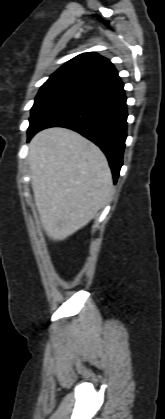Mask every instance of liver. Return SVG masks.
I'll return each instance as SVG.
<instances>
[{"mask_svg":"<svg viewBox=\"0 0 165 419\" xmlns=\"http://www.w3.org/2000/svg\"><path fill=\"white\" fill-rule=\"evenodd\" d=\"M28 159L35 205L50 239H66L109 202L113 181L108 161L77 132L49 128L37 133Z\"/></svg>","mask_w":165,"mask_h":419,"instance_id":"obj_1","label":"liver"}]
</instances>
